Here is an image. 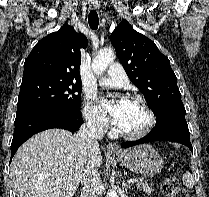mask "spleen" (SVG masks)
<instances>
[{"instance_id": "spleen-1", "label": "spleen", "mask_w": 209, "mask_h": 197, "mask_svg": "<svg viewBox=\"0 0 209 197\" xmlns=\"http://www.w3.org/2000/svg\"><path fill=\"white\" fill-rule=\"evenodd\" d=\"M182 181H183V184L187 187V188H193L194 186V180H193V177L191 175V173L189 172H186L183 174V177H182Z\"/></svg>"}]
</instances>
